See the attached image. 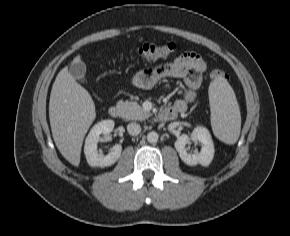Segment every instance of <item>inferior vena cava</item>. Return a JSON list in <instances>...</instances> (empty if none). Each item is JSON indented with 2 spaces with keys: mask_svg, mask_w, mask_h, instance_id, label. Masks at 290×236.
Returning <instances> with one entry per match:
<instances>
[{
  "mask_svg": "<svg viewBox=\"0 0 290 236\" xmlns=\"http://www.w3.org/2000/svg\"><path fill=\"white\" fill-rule=\"evenodd\" d=\"M127 131L130 135H138L141 132V126L137 123H129Z\"/></svg>",
  "mask_w": 290,
  "mask_h": 236,
  "instance_id": "obj_1",
  "label": "inferior vena cava"
}]
</instances>
